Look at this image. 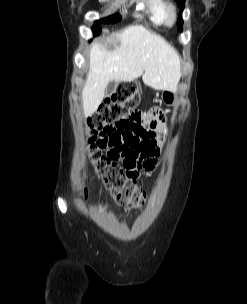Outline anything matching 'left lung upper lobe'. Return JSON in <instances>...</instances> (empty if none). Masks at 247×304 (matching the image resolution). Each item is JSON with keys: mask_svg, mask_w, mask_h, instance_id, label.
<instances>
[{"mask_svg": "<svg viewBox=\"0 0 247 304\" xmlns=\"http://www.w3.org/2000/svg\"><path fill=\"white\" fill-rule=\"evenodd\" d=\"M178 4L179 7H181V12L183 11L184 9V2L185 0H175ZM182 25H183V20H182V16H181V13L179 14V18H178V29L179 31L181 32L182 31Z\"/></svg>", "mask_w": 247, "mask_h": 304, "instance_id": "obj_1", "label": "left lung upper lobe"}]
</instances>
